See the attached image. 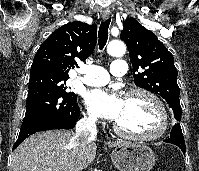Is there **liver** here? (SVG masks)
I'll return each mask as SVG.
<instances>
[{"label": "liver", "instance_id": "liver-1", "mask_svg": "<svg viewBox=\"0 0 199 171\" xmlns=\"http://www.w3.org/2000/svg\"><path fill=\"white\" fill-rule=\"evenodd\" d=\"M123 141L106 143L116 147ZM92 141L82 143L73 131L52 130L31 135L12 154V171H75L77 162L88 166L96 156Z\"/></svg>", "mask_w": 199, "mask_h": 171}]
</instances>
